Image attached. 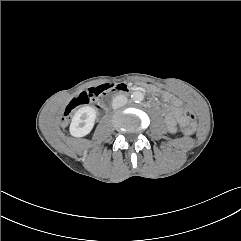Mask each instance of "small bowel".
Segmentation results:
<instances>
[{"instance_id":"1","label":"small bowel","mask_w":241,"mask_h":241,"mask_svg":"<svg viewBox=\"0 0 241 241\" xmlns=\"http://www.w3.org/2000/svg\"><path fill=\"white\" fill-rule=\"evenodd\" d=\"M166 98L172 104V107L168 111L166 122H167L168 128L173 129L176 123H179V124L184 123V120L181 116V101L169 94L166 95Z\"/></svg>"}]
</instances>
